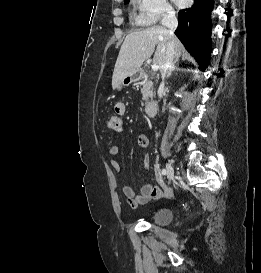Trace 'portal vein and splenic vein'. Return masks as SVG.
<instances>
[{
  "mask_svg": "<svg viewBox=\"0 0 261 273\" xmlns=\"http://www.w3.org/2000/svg\"><path fill=\"white\" fill-rule=\"evenodd\" d=\"M142 50H144V48H142ZM151 68H152L153 71H158L159 65L154 63V64L151 66Z\"/></svg>",
  "mask_w": 261,
  "mask_h": 273,
  "instance_id": "1",
  "label": "portal vein and splenic vein"
}]
</instances>
